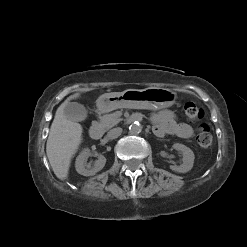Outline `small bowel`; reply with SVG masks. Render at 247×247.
<instances>
[{
    "instance_id": "1",
    "label": "small bowel",
    "mask_w": 247,
    "mask_h": 247,
    "mask_svg": "<svg viewBox=\"0 0 247 247\" xmlns=\"http://www.w3.org/2000/svg\"><path fill=\"white\" fill-rule=\"evenodd\" d=\"M151 119L154 124V133L158 137L176 135L181 138H191L193 136L192 127L186 123L179 122L171 111L156 112L152 115Z\"/></svg>"
}]
</instances>
